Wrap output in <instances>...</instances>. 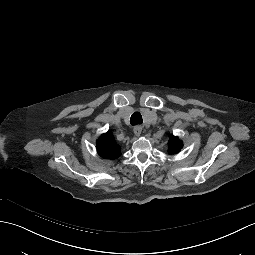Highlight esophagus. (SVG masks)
<instances>
[{
  "instance_id": "34e87169",
  "label": "esophagus",
  "mask_w": 255,
  "mask_h": 255,
  "mask_svg": "<svg viewBox=\"0 0 255 255\" xmlns=\"http://www.w3.org/2000/svg\"><path fill=\"white\" fill-rule=\"evenodd\" d=\"M141 132H142V127L141 126H136L135 128H134V133H135V135L136 136H140V134H141Z\"/></svg>"
}]
</instances>
